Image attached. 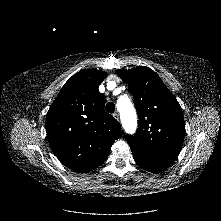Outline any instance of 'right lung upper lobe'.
Returning <instances> with one entry per match:
<instances>
[{
	"label": "right lung upper lobe",
	"mask_w": 221,
	"mask_h": 221,
	"mask_svg": "<svg viewBox=\"0 0 221 221\" xmlns=\"http://www.w3.org/2000/svg\"><path fill=\"white\" fill-rule=\"evenodd\" d=\"M107 73L85 69L62 87L46 115L49 145L59 161L77 172L97 168L121 135L120 124L104 110L98 86Z\"/></svg>",
	"instance_id": "cb5924a9"
}]
</instances>
